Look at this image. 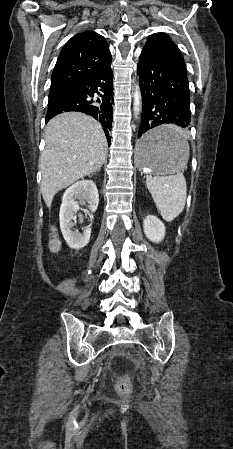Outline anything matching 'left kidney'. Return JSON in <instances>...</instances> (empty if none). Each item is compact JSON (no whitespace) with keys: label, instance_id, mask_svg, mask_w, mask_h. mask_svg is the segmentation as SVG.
Masks as SVG:
<instances>
[{"label":"left kidney","instance_id":"5707ae66","mask_svg":"<svg viewBox=\"0 0 233 449\" xmlns=\"http://www.w3.org/2000/svg\"><path fill=\"white\" fill-rule=\"evenodd\" d=\"M146 237L155 243L161 242L165 236V225L156 216L148 215L143 221Z\"/></svg>","mask_w":233,"mask_h":449}]
</instances>
